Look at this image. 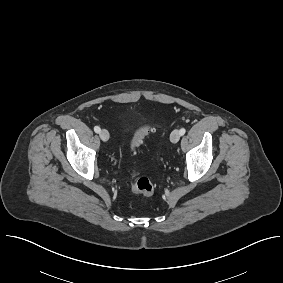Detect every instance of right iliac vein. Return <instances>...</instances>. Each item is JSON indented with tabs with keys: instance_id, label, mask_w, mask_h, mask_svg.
I'll use <instances>...</instances> for the list:
<instances>
[{
	"instance_id": "1",
	"label": "right iliac vein",
	"mask_w": 283,
	"mask_h": 283,
	"mask_svg": "<svg viewBox=\"0 0 283 283\" xmlns=\"http://www.w3.org/2000/svg\"><path fill=\"white\" fill-rule=\"evenodd\" d=\"M99 135L102 141L106 142L109 140V132L106 129H102Z\"/></svg>"
}]
</instances>
